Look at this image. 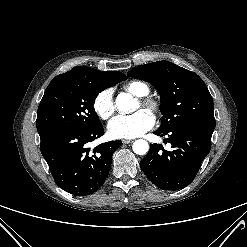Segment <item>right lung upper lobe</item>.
<instances>
[{"instance_id": "right-lung-upper-lobe-1", "label": "right lung upper lobe", "mask_w": 247, "mask_h": 247, "mask_svg": "<svg viewBox=\"0 0 247 247\" xmlns=\"http://www.w3.org/2000/svg\"><path fill=\"white\" fill-rule=\"evenodd\" d=\"M65 77H83L91 80H101L113 84V86L127 79L125 74L118 71H99L89 67H74L70 71L56 76L52 81Z\"/></svg>"}]
</instances>
